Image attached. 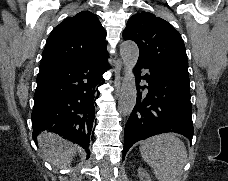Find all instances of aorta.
<instances>
[{"label":"aorta","instance_id":"aorta-1","mask_svg":"<svg viewBox=\"0 0 228 181\" xmlns=\"http://www.w3.org/2000/svg\"><path fill=\"white\" fill-rule=\"evenodd\" d=\"M120 55L126 68V74L119 94L118 111L122 116H128L135 106L137 97L133 69L139 58V49L134 42L124 41L120 45Z\"/></svg>","mask_w":228,"mask_h":181}]
</instances>
